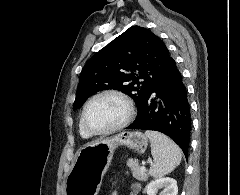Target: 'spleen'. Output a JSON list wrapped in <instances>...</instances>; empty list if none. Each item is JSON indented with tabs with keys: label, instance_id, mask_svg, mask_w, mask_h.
Masks as SVG:
<instances>
[{
	"label": "spleen",
	"instance_id": "spleen-1",
	"mask_svg": "<svg viewBox=\"0 0 240 195\" xmlns=\"http://www.w3.org/2000/svg\"><path fill=\"white\" fill-rule=\"evenodd\" d=\"M145 135L149 137L151 153L154 157V163H151L149 173L155 179L163 177L166 173H170L176 165H179L182 159L181 149L173 139L160 131L146 129Z\"/></svg>",
	"mask_w": 240,
	"mask_h": 195
}]
</instances>
